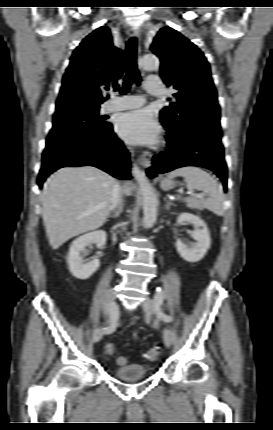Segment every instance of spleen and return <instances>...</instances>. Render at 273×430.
I'll return each mask as SVG.
<instances>
[{"label":"spleen","mask_w":273,"mask_h":430,"mask_svg":"<svg viewBox=\"0 0 273 430\" xmlns=\"http://www.w3.org/2000/svg\"><path fill=\"white\" fill-rule=\"evenodd\" d=\"M184 177L186 187L189 190H199L207 192L209 197L202 202V206L218 216L224 214V196L222 186L210 176L209 173L195 166H184L170 172L168 177ZM178 200H183L188 204H194L191 198L182 199L177 196Z\"/></svg>","instance_id":"spleen-1"}]
</instances>
